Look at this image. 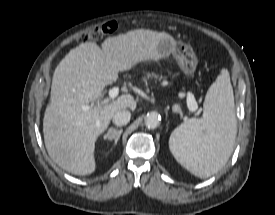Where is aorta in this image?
<instances>
[{
    "label": "aorta",
    "mask_w": 275,
    "mask_h": 215,
    "mask_svg": "<svg viewBox=\"0 0 275 215\" xmlns=\"http://www.w3.org/2000/svg\"><path fill=\"white\" fill-rule=\"evenodd\" d=\"M161 116L156 112H149L145 116V125L149 129L157 128L160 124Z\"/></svg>",
    "instance_id": "aorta-1"
}]
</instances>
